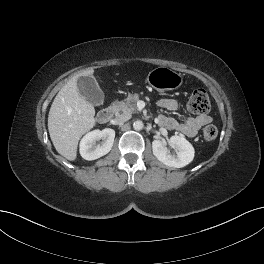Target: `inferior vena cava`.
Here are the masks:
<instances>
[{
  "mask_svg": "<svg viewBox=\"0 0 264 264\" xmlns=\"http://www.w3.org/2000/svg\"><path fill=\"white\" fill-rule=\"evenodd\" d=\"M129 119H130L129 115H120L119 117L114 119L112 122H113V124H123Z\"/></svg>",
  "mask_w": 264,
  "mask_h": 264,
  "instance_id": "1",
  "label": "inferior vena cava"
}]
</instances>
